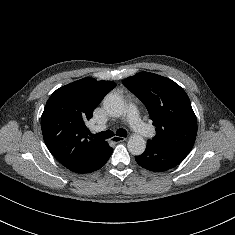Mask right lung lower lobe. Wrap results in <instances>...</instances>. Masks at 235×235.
Returning a JSON list of instances; mask_svg holds the SVG:
<instances>
[{
	"label": "right lung lower lobe",
	"mask_w": 235,
	"mask_h": 235,
	"mask_svg": "<svg viewBox=\"0 0 235 235\" xmlns=\"http://www.w3.org/2000/svg\"><path fill=\"white\" fill-rule=\"evenodd\" d=\"M113 149L105 142L90 156L87 162L76 172L77 173H90L100 169L110 158Z\"/></svg>",
	"instance_id": "obj_1"
}]
</instances>
